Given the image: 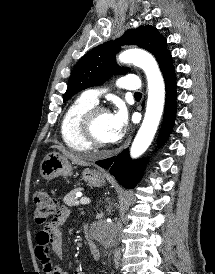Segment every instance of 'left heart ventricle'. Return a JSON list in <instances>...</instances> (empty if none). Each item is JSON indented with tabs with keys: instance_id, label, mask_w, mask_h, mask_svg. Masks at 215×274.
Segmentation results:
<instances>
[{
	"instance_id": "b2bd125f",
	"label": "left heart ventricle",
	"mask_w": 215,
	"mask_h": 274,
	"mask_svg": "<svg viewBox=\"0 0 215 274\" xmlns=\"http://www.w3.org/2000/svg\"><path fill=\"white\" fill-rule=\"evenodd\" d=\"M94 133L102 142H111V131L109 127V114L100 113L94 123Z\"/></svg>"
}]
</instances>
